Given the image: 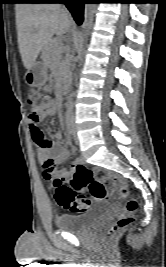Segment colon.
Returning a JSON list of instances; mask_svg holds the SVG:
<instances>
[{"label": "colon", "mask_w": 166, "mask_h": 267, "mask_svg": "<svg viewBox=\"0 0 166 267\" xmlns=\"http://www.w3.org/2000/svg\"><path fill=\"white\" fill-rule=\"evenodd\" d=\"M28 103L31 107L30 117L37 120L41 114L47 111L52 106V100L49 95L32 91L28 95ZM36 139L40 144L45 143L44 134L41 130L36 132ZM44 170L48 173L53 171V166L50 163L44 165ZM120 182L119 178L112 174H104L101 178H96L93 170L87 168L83 164H76L74 166V174L71 179V186L64 184L61 178L53 180V187L55 189V201L57 204L74 213L86 212L90 205V198L79 194L85 188H88L91 195L95 199L104 200L106 196L109 197L107 185H117ZM119 193L123 198L129 195L127 186L119 188ZM138 208V202L134 198H127L123 213L105 230V237L112 238L118 231L129 225L133 221V213Z\"/></svg>", "instance_id": "5ec220e1"}]
</instances>
